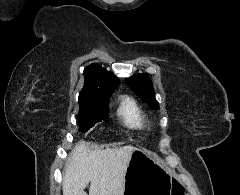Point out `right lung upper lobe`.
Returning a JSON list of instances; mask_svg holds the SVG:
<instances>
[{
	"label": "right lung upper lobe",
	"instance_id": "cb5924a9",
	"mask_svg": "<svg viewBox=\"0 0 240 195\" xmlns=\"http://www.w3.org/2000/svg\"><path fill=\"white\" fill-rule=\"evenodd\" d=\"M84 86L78 101L108 100L120 80L102 66L92 63L84 69Z\"/></svg>",
	"mask_w": 240,
	"mask_h": 195
}]
</instances>
